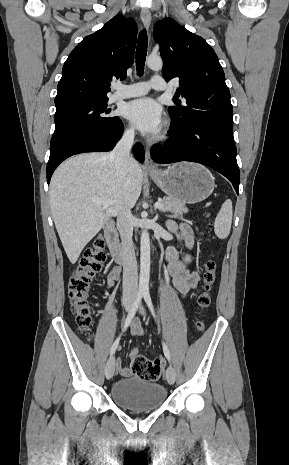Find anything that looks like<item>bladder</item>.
I'll return each mask as SVG.
<instances>
[{
    "instance_id": "31cf9c89",
    "label": "bladder",
    "mask_w": 289,
    "mask_h": 465,
    "mask_svg": "<svg viewBox=\"0 0 289 465\" xmlns=\"http://www.w3.org/2000/svg\"><path fill=\"white\" fill-rule=\"evenodd\" d=\"M110 396L123 408L153 410L165 402L167 390L160 383L130 377L117 380L111 387Z\"/></svg>"
}]
</instances>
